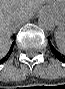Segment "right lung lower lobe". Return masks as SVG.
<instances>
[{
	"instance_id": "right-lung-lower-lobe-1",
	"label": "right lung lower lobe",
	"mask_w": 65,
	"mask_h": 89,
	"mask_svg": "<svg viewBox=\"0 0 65 89\" xmlns=\"http://www.w3.org/2000/svg\"><path fill=\"white\" fill-rule=\"evenodd\" d=\"M13 46H14V43L12 44V46H11V49H10V51H9V54L13 51ZM7 60V57L6 58H3L1 61H6ZM0 61V62H1Z\"/></svg>"
}]
</instances>
